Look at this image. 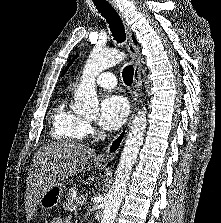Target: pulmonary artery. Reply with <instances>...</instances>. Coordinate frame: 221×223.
<instances>
[{"label":"pulmonary artery","mask_w":221,"mask_h":223,"mask_svg":"<svg viewBox=\"0 0 221 223\" xmlns=\"http://www.w3.org/2000/svg\"><path fill=\"white\" fill-rule=\"evenodd\" d=\"M96 83L102 88H114L116 86V78L111 72H103L96 78Z\"/></svg>","instance_id":"obj_1"}]
</instances>
